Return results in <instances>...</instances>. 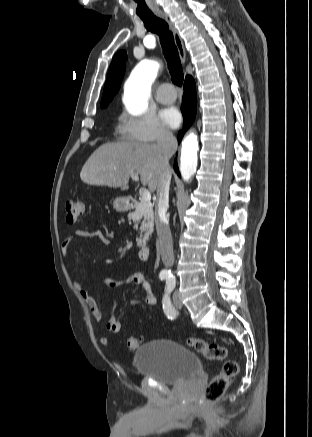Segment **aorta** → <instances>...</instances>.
Returning a JSON list of instances; mask_svg holds the SVG:
<instances>
[{
    "instance_id": "1",
    "label": "aorta",
    "mask_w": 312,
    "mask_h": 437,
    "mask_svg": "<svg viewBox=\"0 0 312 437\" xmlns=\"http://www.w3.org/2000/svg\"><path fill=\"white\" fill-rule=\"evenodd\" d=\"M159 69V64L151 60L141 61L132 71L125 85L124 103L132 115L142 114L148 107L151 86ZM198 139L190 133L182 142L180 172L184 181L189 182L197 169Z\"/></svg>"
}]
</instances>
